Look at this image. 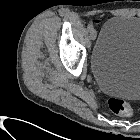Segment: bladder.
Masks as SVG:
<instances>
[{
    "label": "bladder",
    "instance_id": "bladder-1",
    "mask_svg": "<svg viewBox=\"0 0 140 140\" xmlns=\"http://www.w3.org/2000/svg\"><path fill=\"white\" fill-rule=\"evenodd\" d=\"M93 76L102 90L124 98L140 97V17L115 16L100 32L91 56Z\"/></svg>",
    "mask_w": 140,
    "mask_h": 140
}]
</instances>
